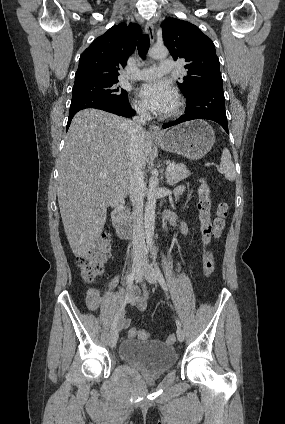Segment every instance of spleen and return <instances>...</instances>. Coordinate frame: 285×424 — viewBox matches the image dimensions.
Returning <instances> with one entry per match:
<instances>
[{
    "label": "spleen",
    "mask_w": 285,
    "mask_h": 424,
    "mask_svg": "<svg viewBox=\"0 0 285 424\" xmlns=\"http://www.w3.org/2000/svg\"><path fill=\"white\" fill-rule=\"evenodd\" d=\"M219 171L224 174L228 181H234L236 178V171L231 159V154L227 148L223 149Z\"/></svg>",
    "instance_id": "spleen-1"
}]
</instances>
